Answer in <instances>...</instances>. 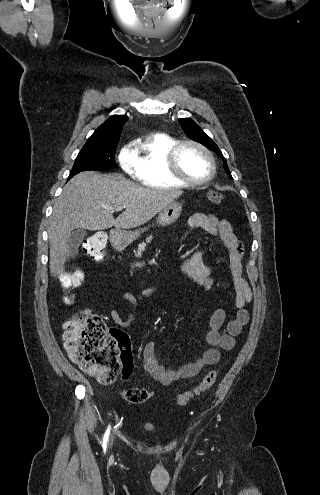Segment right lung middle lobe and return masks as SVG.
Masks as SVG:
<instances>
[{"label":"right lung middle lobe","mask_w":320,"mask_h":495,"mask_svg":"<svg viewBox=\"0 0 320 495\" xmlns=\"http://www.w3.org/2000/svg\"><path fill=\"white\" fill-rule=\"evenodd\" d=\"M117 144L84 146L79 152L68 180L86 170H104L116 168L115 152Z\"/></svg>","instance_id":"1"}]
</instances>
